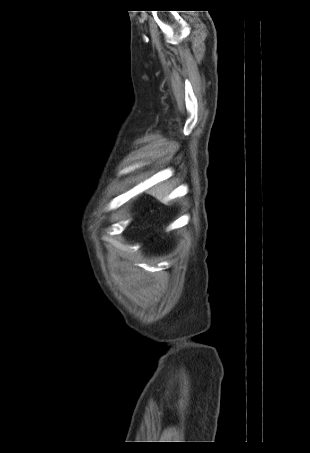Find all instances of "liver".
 Wrapping results in <instances>:
<instances>
[{"label": "liver", "mask_w": 310, "mask_h": 453, "mask_svg": "<svg viewBox=\"0 0 310 453\" xmlns=\"http://www.w3.org/2000/svg\"><path fill=\"white\" fill-rule=\"evenodd\" d=\"M169 190L166 185H161L158 187H155L149 191V193L159 200H164V198L167 196Z\"/></svg>", "instance_id": "liver-1"}]
</instances>
